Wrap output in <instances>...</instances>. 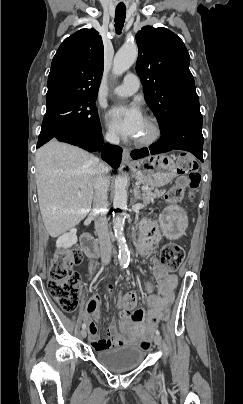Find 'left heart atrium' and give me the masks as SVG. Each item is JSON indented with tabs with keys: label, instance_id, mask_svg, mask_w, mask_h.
<instances>
[{
	"label": "left heart atrium",
	"instance_id": "1",
	"mask_svg": "<svg viewBox=\"0 0 243 404\" xmlns=\"http://www.w3.org/2000/svg\"><path fill=\"white\" fill-rule=\"evenodd\" d=\"M106 119L113 131L134 140L142 134L145 123V117L136 103L112 108L107 113Z\"/></svg>",
	"mask_w": 243,
	"mask_h": 404
}]
</instances>
